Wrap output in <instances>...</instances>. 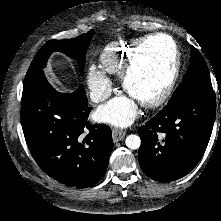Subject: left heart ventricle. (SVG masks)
Wrapping results in <instances>:
<instances>
[{
	"instance_id": "obj_1",
	"label": "left heart ventricle",
	"mask_w": 221,
	"mask_h": 221,
	"mask_svg": "<svg viewBox=\"0 0 221 221\" xmlns=\"http://www.w3.org/2000/svg\"><path fill=\"white\" fill-rule=\"evenodd\" d=\"M172 59L171 43L163 37L150 40L142 49L129 80V91L135 100L148 99L168 77Z\"/></svg>"
}]
</instances>
